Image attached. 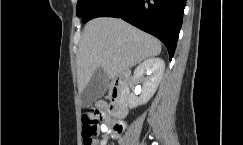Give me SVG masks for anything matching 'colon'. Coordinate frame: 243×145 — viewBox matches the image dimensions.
<instances>
[{
  "label": "colon",
  "instance_id": "5ec220e1",
  "mask_svg": "<svg viewBox=\"0 0 243 145\" xmlns=\"http://www.w3.org/2000/svg\"><path fill=\"white\" fill-rule=\"evenodd\" d=\"M100 120H102V111L99 108H91L83 115L82 136L84 145H95L94 137L98 133ZM111 127L116 132L123 130V125L119 122H114Z\"/></svg>",
  "mask_w": 243,
  "mask_h": 145
}]
</instances>
